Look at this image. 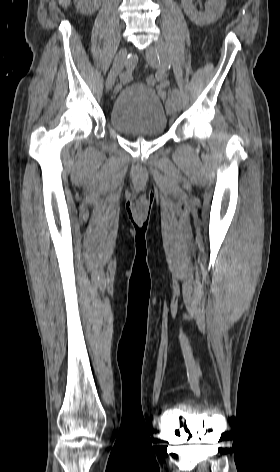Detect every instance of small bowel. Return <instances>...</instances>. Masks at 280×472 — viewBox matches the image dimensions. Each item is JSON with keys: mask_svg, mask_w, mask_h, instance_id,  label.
<instances>
[{"mask_svg": "<svg viewBox=\"0 0 280 472\" xmlns=\"http://www.w3.org/2000/svg\"><path fill=\"white\" fill-rule=\"evenodd\" d=\"M167 86V82H162L160 87H159V94L162 96V97H165L166 96V92H165V87Z\"/></svg>", "mask_w": 280, "mask_h": 472, "instance_id": "small-bowel-1", "label": "small bowel"}]
</instances>
